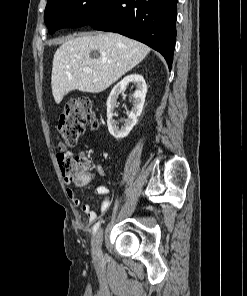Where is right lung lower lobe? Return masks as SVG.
Returning <instances> with one entry per match:
<instances>
[{
	"label": "right lung lower lobe",
	"mask_w": 247,
	"mask_h": 296,
	"mask_svg": "<svg viewBox=\"0 0 247 296\" xmlns=\"http://www.w3.org/2000/svg\"><path fill=\"white\" fill-rule=\"evenodd\" d=\"M178 0H105L102 11L87 24L117 32L160 52L169 69L176 42Z\"/></svg>",
	"instance_id": "1"
}]
</instances>
